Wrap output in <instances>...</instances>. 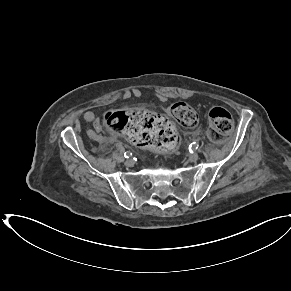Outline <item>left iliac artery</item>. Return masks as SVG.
Returning a JSON list of instances; mask_svg holds the SVG:
<instances>
[{
	"label": "left iliac artery",
	"mask_w": 291,
	"mask_h": 291,
	"mask_svg": "<svg viewBox=\"0 0 291 291\" xmlns=\"http://www.w3.org/2000/svg\"><path fill=\"white\" fill-rule=\"evenodd\" d=\"M198 146H199L198 143L193 142L189 145V149L190 150L198 149Z\"/></svg>",
	"instance_id": "1"
}]
</instances>
